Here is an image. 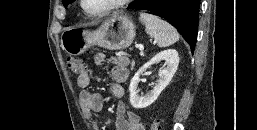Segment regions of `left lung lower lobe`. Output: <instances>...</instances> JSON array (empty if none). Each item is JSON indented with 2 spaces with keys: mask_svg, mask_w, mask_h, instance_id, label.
Masks as SVG:
<instances>
[{
  "mask_svg": "<svg viewBox=\"0 0 257 130\" xmlns=\"http://www.w3.org/2000/svg\"><path fill=\"white\" fill-rule=\"evenodd\" d=\"M200 0H140L130 9L147 10L174 27L194 49L198 32Z\"/></svg>",
  "mask_w": 257,
  "mask_h": 130,
  "instance_id": "left-lung-lower-lobe-1",
  "label": "left lung lower lobe"
}]
</instances>
